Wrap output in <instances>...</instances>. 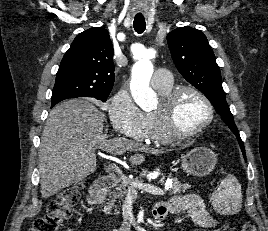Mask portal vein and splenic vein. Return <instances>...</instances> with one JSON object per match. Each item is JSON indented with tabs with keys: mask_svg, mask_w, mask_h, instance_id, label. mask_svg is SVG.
Masks as SVG:
<instances>
[{
	"mask_svg": "<svg viewBox=\"0 0 268 231\" xmlns=\"http://www.w3.org/2000/svg\"><path fill=\"white\" fill-rule=\"evenodd\" d=\"M109 167L118 175L121 176L123 180H126L127 177L123 174L122 170L115 164V163H109ZM142 190L150 194L154 195H164V191L160 189L158 186H155L153 184H146L142 182L137 181H131V186L129 188L130 192H136V190Z\"/></svg>",
	"mask_w": 268,
	"mask_h": 231,
	"instance_id": "obj_1",
	"label": "portal vein and splenic vein"
}]
</instances>
